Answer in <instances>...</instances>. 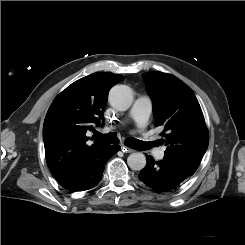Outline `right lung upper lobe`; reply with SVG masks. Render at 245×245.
Instances as JSON below:
<instances>
[{
	"instance_id": "cb5924a9",
	"label": "right lung upper lobe",
	"mask_w": 245,
	"mask_h": 245,
	"mask_svg": "<svg viewBox=\"0 0 245 245\" xmlns=\"http://www.w3.org/2000/svg\"><path fill=\"white\" fill-rule=\"evenodd\" d=\"M121 78L109 72L94 73L75 81L55 98L43 125L46 161L54 177L108 145L95 140L89 146L86 134L101 126L108 91Z\"/></svg>"
}]
</instances>
